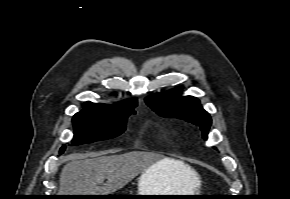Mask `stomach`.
Wrapping results in <instances>:
<instances>
[{
  "instance_id": "1",
  "label": "stomach",
  "mask_w": 290,
  "mask_h": 199,
  "mask_svg": "<svg viewBox=\"0 0 290 199\" xmlns=\"http://www.w3.org/2000/svg\"><path fill=\"white\" fill-rule=\"evenodd\" d=\"M153 165L143 171L138 179V195H193L176 194L172 191V177L162 171H157ZM153 199H188L185 197L155 196Z\"/></svg>"
}]
</instances>
